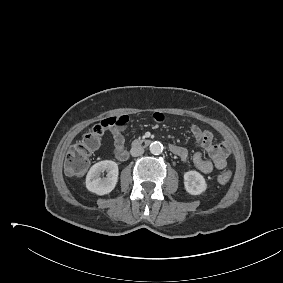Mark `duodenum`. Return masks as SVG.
<instances>
[{
    "instance_id": "duodenum-1",
    "label": "duodenum",
    "mask_w": 283,
    "mask_h": 283,
    "mask_svg": "<svg viewBox=\"0 0 283 283\" xmlns=\"http://www.w3.org/2000/svg\"><path fill=\"white\" fill-rule=\"evenodd\" d=\"M150 144V140L147 139H139V140H135L132 143L133 147H147ZM127 157H128V153H127Z\"/></svg>"
}]
</instances>
